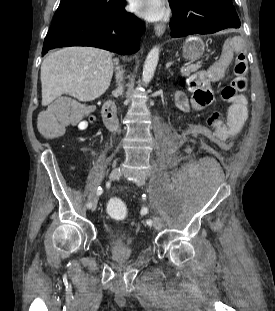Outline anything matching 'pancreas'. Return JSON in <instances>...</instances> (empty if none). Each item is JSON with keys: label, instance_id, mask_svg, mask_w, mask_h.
Instances as JSON below:
<instances>
[{"label": "pancreas", "instance_id": "1", "mask_svg": "<svg viewBox=\"0 0 275 311\" xmlns=\"http://www.w3.org/2000/svg\"><path fill=\"white\" fill-rule=\"evenodd\" d=\"M200 62L197 63V64H193V65H190V66H187V67H183L181 72H182V75L183 76H187L189 75L191 72H194L196 71L199 67H200Z\"/></svg>", "mask_w": 275, "mask_h": 311}]
</instances>
